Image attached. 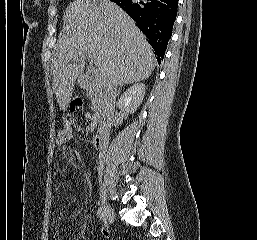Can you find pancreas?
<instances>
[{
  "instance_id": "1",
  "label": "pancreas",
  "mask_w": 257,
  "mask_h": 240,
  "mask_svg": "<svg viewBox=\"0 0 257 240\" xmlns=\"http://www.w3.org/2000/svg\"><path fill=\"white\" fill-rule=\"evenodd\" d=\"M86 95L91 101V108L96 113V116H104L106 113V109H108V102L102 90L96 89L92 85L87 86Z\"/></svg>"
}]
</instances>
